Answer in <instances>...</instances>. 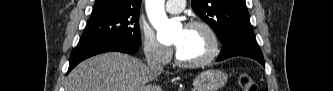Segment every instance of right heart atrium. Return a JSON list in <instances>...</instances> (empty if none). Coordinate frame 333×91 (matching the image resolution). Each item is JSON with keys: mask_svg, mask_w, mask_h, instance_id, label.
Instances as JSON below:
<instances>
[{"mask_svg": "<svg viewBox=\"0 0 333 91\" xmlns=\"http://www.w3.org/2000/svg\"><path fill=\"white\" fill-rule=\"evenodd\" d=\"M139 35L143 52L148 60L165 64L171 59L172 49L162 44L149 27L141 24Z\"/></svg>", "mask_w": 333, "mask_h": 91, "instance_id": "1", "label": "right heart atrium"}]
</instances>
